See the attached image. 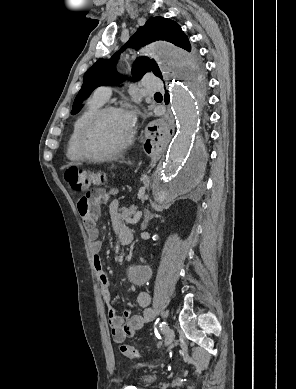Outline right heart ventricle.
Returning <instances> with one entry per match:
<instances>
[{"mask_svg": "<svg viewBox=\"0 0 296 389\" xmlns=\"http://www.w3.org/2000/svg\"><path fill=\"white\" fill-rule=\"evenodd\" d=\"M104 103H105L104 101H102L101 99L93 95L91 98L88 99L84 110L74 122L72 132L67 142V150H66L67 157L71 161H81L83 159V156L81 155L78 147V141H79V135L81 129L86 123V121L95 112H97L99 109L103 107Z\"/></svg>", "mask_w": 296, "mask_h": 389, "instance_id": "1", "label": "right heart ventricle"}]
</instances>
